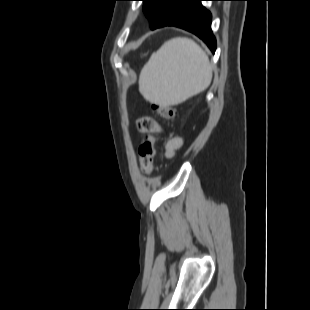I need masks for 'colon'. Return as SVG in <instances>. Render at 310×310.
Segmentation results:
<instances>
[{"mask_svg":"<svg viewBox=\"0 0 310 310\" xmlns=\"http://www.w3.org/2000/svg\"><path fill=\"white\" fill-rule=\"evenodd\" d=\"M152 107L156 114L164 121L170 122L176 116L175 109L171 104L154 103ZM159 141L160 136L157 133L149 132L138 148L141 168L147 175H151L154 171V159L157 154V144Z\"/></svg>","mask_w":310,"mask_h":310,"instance_id":"5ec220e1","label":"colon"}]
</instances>
